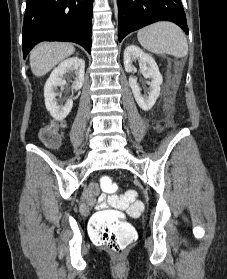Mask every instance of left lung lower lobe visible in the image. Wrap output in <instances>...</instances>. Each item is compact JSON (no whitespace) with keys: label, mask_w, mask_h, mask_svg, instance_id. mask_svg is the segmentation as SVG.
<instances>
[{"label":"left lung lower lobe","mask_w":227,"mask_h":279,"mask_svg":"<svg viewBox=\"0 0 227 279\" xmlns=\"http://www.w3.org/2000/svg\"><path fill=\"white\" fill-rule=\"evenodd\" d=\"M157 21L174 22L188 34L180 0H118L119 42L130 32Z\"/></svg>","instance_id":"0a47b994"}]
</instances>
